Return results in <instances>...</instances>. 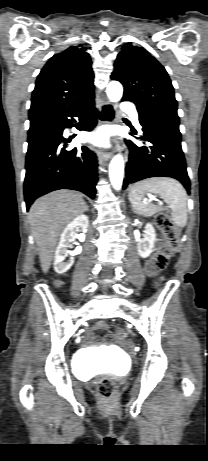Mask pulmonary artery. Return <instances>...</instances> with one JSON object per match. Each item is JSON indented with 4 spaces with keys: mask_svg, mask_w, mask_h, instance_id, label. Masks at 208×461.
Masks as SVG:
<instances>
[{
    "mask_svg": "<svg viewBox=\"0 0 208 461\" xmlns=\"http://www.w3.org/2000/svg\"><path fill=\"white\" fill-rule=\"evenodd\" d=\"M122 110L125 111V112H127V113L131 116L133 122H134L136 125L139 124L138 115H137V112H136V110H135V108H134L133 105H127V104H125V105H123Z\"/></svg>",
    "mask_w": 208,
    "mask_h": 461,
    "instance_id": "e3ab8cb5",
    "label": "pulmonary artery"
}]
</instances>
